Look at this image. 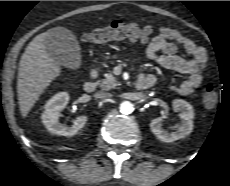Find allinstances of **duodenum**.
Here are the masks:
<instances>
[{
  "instance_id": "1",
  "label": "duodenum",
  "mask_w": 230,
  "mask_h": 186,
  "mask_svg": "<svg viewBox=\"0 0 230 186\" xmlns=\"http://www.w3.org/2000/svg\"><path fill=\"white\" fill-rule=\"evenodd\" d=\"M98 74V70L97 69H92L91 70V75L93 78H95ZM153 85V80L150 78H140L136 83H135V87L138 90H144V89H148L149 87H151ZM97 89V82L95 79L86 81L84 83V90L88 93H92Z\"/></svg>"
}]
</instances>
